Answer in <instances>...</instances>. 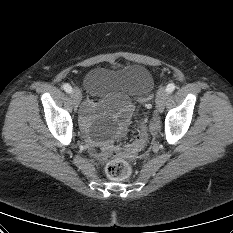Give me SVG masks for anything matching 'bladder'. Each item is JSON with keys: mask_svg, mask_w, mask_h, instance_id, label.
I'll list each match as a JSON object with an SVG mask.
<instances>
[{"mask_svg": "<svg viewBox=\"0 0 233 233\" xmlns=\"http://www.w3.org/2000/svg\"><path fill=\"white\" fill-rule=\"evenodd\" d=\"M86 91L100 99H110V107L116 109V117L103 116L95 125L97 138L110 134L121 123L122 102L130 98H146L154 88L151 72L139 64L119 69L95 67L84 77Z\"/></svg>", "mask_w": 233, "mask_h": 233, "instance_id": "obj_1", "label": "bladder"}]
</instances>
